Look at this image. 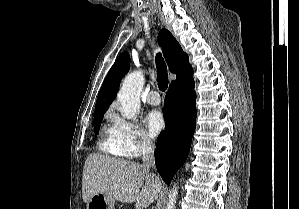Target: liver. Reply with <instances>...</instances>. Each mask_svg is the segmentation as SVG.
I'll return each mask as SVG.
<instances>
[{"label": "liver", "instance_id": "6515ba94", "mask_svg": "<svg viewBox=\"0 0 299 209\" xmlns=\"http://www.w3.org/2000/svg\"><path fill=\"white\" fill-rule=\"evenodd\" d=\"M162 191V181L143 165L111 158L101 154H90L84 165L82 197L87 203L98 193L123 203H136L144 209L156 201Z\"/></svg>", "mask_w": 299, "mask_h": 209}]
</instances>
